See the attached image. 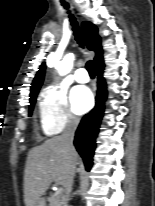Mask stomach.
<instances>
[{
  "label": "stomach",
  "mask_w": 155,
  "mask_h": 206,
  "mask_svg": "<svg viewBox=\"0 0 155 206\" xmlns=\"http://www.w3.org/2000/svg\"><path fill=\"white\" fill-rule=\"evenodd\" d=\"M35 206H46L45 205V200L43 198H40Z\"/></svg>",
  "instance_id": "1"
}]
</instances>
